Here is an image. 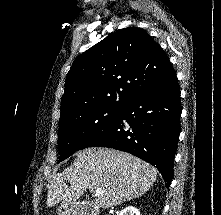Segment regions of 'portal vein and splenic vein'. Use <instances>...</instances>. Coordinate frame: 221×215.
Masks as SVG:
<instances>
[{
	"mask_svg": "<svg viewBox=\"0 0 221 215\" xmlns=\"http://www.w3.org/2000/svg\"><path fill=\"white\" fill-rule=\"evenodd\" d=\"M95 193H96V194H100V193H103V191H102L101 189H96V190H95Z\"/></svg>",
	"mask_w": 221,
	"mask_h": 215,
	"instance_id": "18ae733b",
	"label": "portal vein and splenic vein"
}]
</instances>
